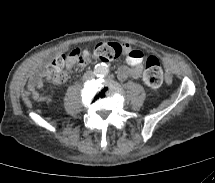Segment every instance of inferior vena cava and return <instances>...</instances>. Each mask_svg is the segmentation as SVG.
<instances>
[{
	"label": "inferior vena cava",
	"mask_w": 215,
	"mask_h": 183,
	"mask_svg": "<svg viewBox=\"0 0 215 183\" xmlns=\"http://www.w3.org/2000/svg\"><path fill=\"white\" fill-rule=\"evenodd\" d=\"M83 77H84V79H91V78L94 77V75H93V72L88 71V72H86V73L84 74Z\"/></svg>",
	"instance_id": "inferior-vena-cava-1"
}]
</instances>
